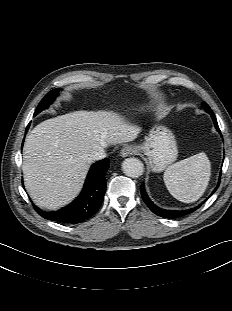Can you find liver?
<instances>
[{"instance_id":"6515ba94","label":"liver","mask_w":232,"mask_h":311,"mask_svg":"<svg viewBox=\"0 0 232 311\" xmlns=\"http://www.w3.org/2000/svg\"><path fill=\"white\" fill-rule=\"evenodd\" d=\"M139 128L107 111H75L45 120L27 136L22 170L34 203L56 210L82 188L93 151L133 141Z\"/></svg>"}]
</instances>
